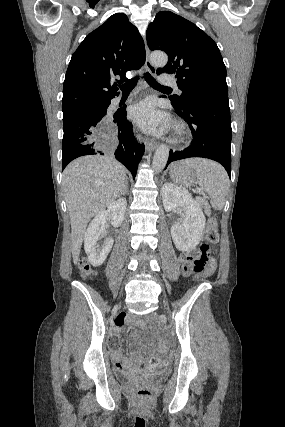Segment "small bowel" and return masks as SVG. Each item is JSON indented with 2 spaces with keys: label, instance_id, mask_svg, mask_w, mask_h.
Returning <instances> with one entry per match:
<instances>
[{
  "label": "small bowel",
  "instance_id": "obj_1",
  "mask_svg": "<svg viewBox=\"0 0 285 427\" xmlns=\"http://www.w3.org/2000/svg\"><path fill=\"white\" fill-rule=\"evenodd\" d=\"M180 261L184 264L186 261L185 256H181ZM129 319L127 317H121L118 320L115 321V326L117 328L123 327ZM107 343L112 348L111 350V358L115 364V366L120 370H126L131 367L132 362L130 360L123 358V352L121 349L120 344L116 341V339L113 336H109L107 338ZM141 354V350L136 348L132 351V356L134 359V362H139V355Z\"/></svg>",
  "mask_w": 285,
  "mask_h": 427
}]
</instances>
